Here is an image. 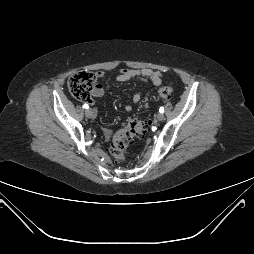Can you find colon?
I'll use <instances>...</instances> for the list:
<instances>
[{"instance_id":"obj_1","label":"colon","mask_w":254,"mask_h":254,"mask_svg":"<svg viewBox=\"0 0 254 254\" xmlns=\"http://www.w3.org/2000/svg\"><path fill=\"white\" fill-rule=\"evenodd\" d=\"M68 89L78 100L88 101L93 89L96 87V75L93 73L79 72L69 77ZM173 93V88L164 86L158 89L161 99H168ZM147 132V123L139 119H129L111 139L110 153L117 161L126 159L128 145L135 139L144 137Z\"/></svg>"}]
</instances>
